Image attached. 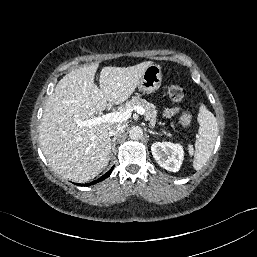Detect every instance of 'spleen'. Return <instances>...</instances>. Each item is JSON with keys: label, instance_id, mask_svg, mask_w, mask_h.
Wrapping results in <instances>:
<instances>
[{"label": "spleen", "instance_id": "obj_1", "mask_svg": "<svg viewBox=\"0 0 257 257\" xmlns=\"http://www.w3.org/2000/svg\"><path fill=\"white\" fill-rule=\"evenodd\" d=\"M198 137L195 142V151L192 145H189V153L194 154L193 167L195 170H200L208 161L213 151L217 134L218 123L216 117L207 107L201 103L198 114Z\"/></svg>", "mask_w": 257, "mask_h": 257}]
</instances>
